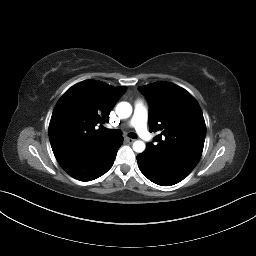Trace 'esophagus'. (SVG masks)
I'll return each mask as SVG.
<instances>
[{"mask_svg": "<svg viewBox=\"0 0 256 256\" xmlns=\"http://www.w3.org/2000/svg\"><path fill=\"white\" fill-rule=\"evenodd\" d=\"M125 140H126L127 143H130V144L135 141V140L132 139V138H125Z\"/></svg>", "mask_w": 256, "mask_h": 256, "instance_id": "34e87169", "label": "esophagus"}]
</instances>
